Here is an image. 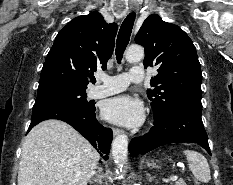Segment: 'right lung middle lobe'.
I'll use <instances>...</instances> for the list:
<instances>
[{
  "label": "right lung middle lobe",
  "mask_w": 233,
  "mask_h": 185,
  "mask_svg": "<svg viewBox=\"0 0 233 185\" xmlns=\"http://www.w3.org/2000/svg\"><path fill=\"white\" fill-rule=\"evenodd\" d=\"M86 89L73 88H49L38 90L35 103L58 102L84 107L93 108L92 101H87Z\"/></svg>",
  "instance_id": "1"
}]
</instances>
